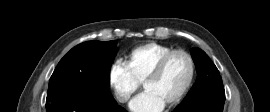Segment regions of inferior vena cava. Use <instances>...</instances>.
Returning a JSON list of instances; mask_svg holds the SVG:
<instances>
[{
    "label": "inferior vena cava",
    "mask_w": 270,
    "mask_h": 112,
    "mask_svg": "<svg viewBox=\"0 0 270 112\" xmlns=\"http://www.w3.org/2000/svg\"><path fill=\"white\" fill-rule=\"evenodd\" d=\"M118 100H119L120 102H126V101L128 100V97H126V96L120 97V98H118Z\"/></svg>",
    "instance_id": "inferior-vena-cava-1"
}]
</instances>
